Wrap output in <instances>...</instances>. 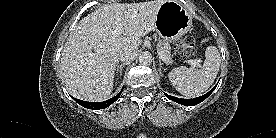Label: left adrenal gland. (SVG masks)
I'll return each mask as SVG.
<instances>
[{
  "label": "left adrenal gland",
  "mask_w": 276,
  "mask_h": 138,
  "mask_svg": "<svg viewBox=\"0 0 276 138\" xmlns=\"http://www.w3.org/2000/svg\"><path fill=\"white\" fill-rule=\"evenodd\" d=\"M161 68H163V67H162L161 60H159V73H160V74H161ZM163 70L165 71V68H163Z\"/></svg>",
  "instance_id": "a2214340"
}]
</instances>
